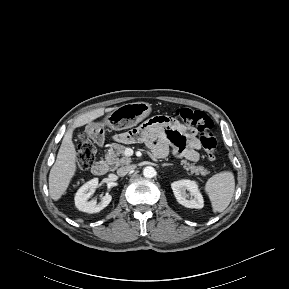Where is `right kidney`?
Wrapping results in <instances>:
<instances>
[{
	"instance_id": "ca27d5eb",
	"label": "right kidney",
	"mask_w": 289,
	"mask_h": 289,
	"mask_svg": "<svg viewBox=\"0 0 289 289\" xmlns=\"http://www.w3.org/2000/svg\"><path fill=\"white\" fill-rule=\"evenodd\" d=\"M98 186V179L94 178L86 182L79 188L75 195V206L79 211L86 213H97L103 210L112 200V196L106 194L100 203L96 200L88 201V198L94 193Z\"/></svg>"
}]
</instances>
